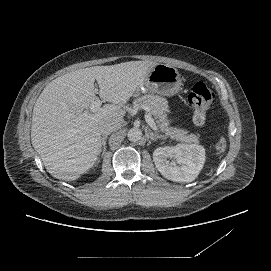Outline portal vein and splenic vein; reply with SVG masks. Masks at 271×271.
<instances>
[{
    "label": "portal vein and splenic vein",
    "instance_id": "portal-vein-and-splenic-vein-1",
    "mask_svg": "<svg viewBox=\"0 0 271 271\" xmlns=\"http://www.w3.org/2000/svg\"><path fill=\"white\" fill-rule=\"evenodd\" d=\"M96 91H98V89H95ZM102 105V100L100 98H96L91 104H90V109L91 110H95L98 109L100 106ZM146 121L147 123L150 125V127L157 133H160V129L158 127V125L155 124L154 120L150 117L147 116L146 117Z\"/></svg>",
    "mask_w": 271,
    "mask_h": 271
}]
</instances>
